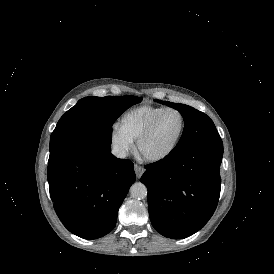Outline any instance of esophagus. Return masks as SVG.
<instances>
[{
  "instance_id": "obj_1",
  "label": "esophagus",
  "mask_w": 274,
  "mask_h": 274,
  "mask_svg": "<svg viewBox=\"0 0 274 274\" xmlns=\"http://www.w3.org/2000/svg\"><path fill=\"white\" fill-rule=\"evenodd\" d=\"M134 169H135V174L137 178H140L145 171V169L142 166L137 164L134 165Z\"/></svg>"
}]
</instances>
